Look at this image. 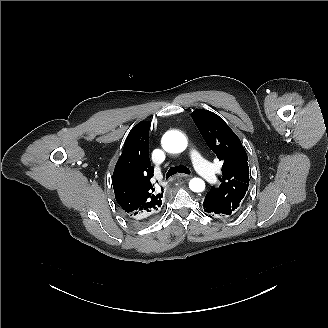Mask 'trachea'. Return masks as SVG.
I'll use <instances>...</instances> for the list:
<instances>
[{
    "label": "trachea",
    "instance_id": "trachea-1",
    "mask_svg": "<svg viewBox=\"0 0 328 328\" xmlns=\"http://www.w3.org/2000/svg\"><path fill=\"white\" fill-rule=\"evenodd\" d=\"M178 172L184 173V174L191 173L190 170L186 166H183V165L173 166L168 170V172L166 174V179H168L169 177H171L174 174H177Z\"/></svg>",
    "mask_w": 328,
    "mask_h": 328
}]
</instances>
